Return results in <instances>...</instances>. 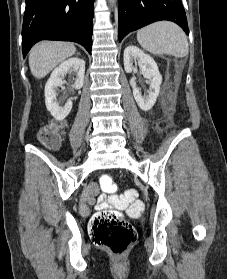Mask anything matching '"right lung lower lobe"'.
<instances>
[{
  "label": "right lung lower lobe",
  "mask_w": 227,
  "mask_h": 279,
  "mask_svg": "<svg viewBox=\"0 0 227 279\" xmlns=\"http://www.w3.org/2000/svg\"><path fill=\"white\" fill-rule=\"evenodd\" d=\"M94 0H26L22 52L40 40L73 41L91 54Z\"/></svg>",
  "instance_id": "98d812e1"
}]
</instances>
